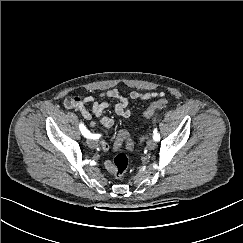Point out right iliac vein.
<instances>
[{"instance_id":"1","label":"right iliac vein","mask_w":243,"mask_h":243,"mask_svg":"<svg viewBox=\"0 0 243 243\" xmlns=\"http://www.w3.org/2000/svg\"><path fill=\"white\" fill-rule=\"evenodd\" d=\"M87 145L93 149L97 147V141L95 139L90 138L87 140Z\"/></svg>"}]
</instances>
